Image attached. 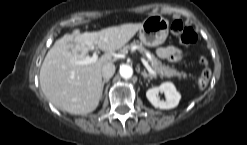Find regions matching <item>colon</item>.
<instances>
[{"label": "colon", "mask_w": 247, "mask_h": 145, "mask_svg": "<svg viewBox=\"0 0 247 145\" xmlns=\"http://www.w3.org/2000/svg\"><path fill=\"white\" fill-rule=\"evenodd\" d=\"M171 31L180 38L184 45L194 44L197 41V35L193 28L185 27L181 20H175L171 24ZM199 64L203 67L201 75L198 79L200 88H205L211 78V70L208 67V60L205 57L199 58Z\"/></svg>", "instance_id": "5ec220e1"}]
</instances>
